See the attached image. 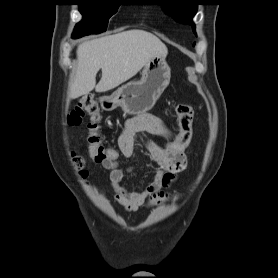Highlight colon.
I'll return each instance as SVG.
<instances>
[{
  "mask_svg": "<svg viewBox=\"0 0 278 278\" xmlns=\"http://www.w3.org/2000/svg\"><path fill=\"white\" fill-rule=\"evenodd\" d=\"M179 131L167 143V147L178 154H185L192 141V122L194 111L188 104H179L176 107ZM86 117H90L88 123L89 136L88 145L92 159L95 162H103L109 159L119 157L118 149L115 147H104L102 145L101 136L98 133L99 106L96 99L91 95L81 97L73 106L68 115V123L78 125L83 122ZM74 165L82 176H86L88 172L85 170V162L81 157H74ZM165 192L159 191L153 193L150 197V204H158L168 199Z\"/></svg>",
  "mask_w": 278,
  "mask_h": 278,
  "instance_id": "obj_1",
  "label": "colon"
}]
</instances>
